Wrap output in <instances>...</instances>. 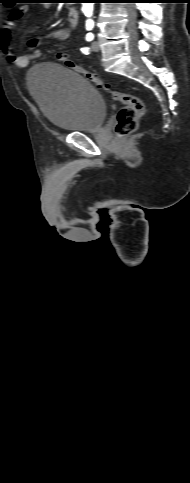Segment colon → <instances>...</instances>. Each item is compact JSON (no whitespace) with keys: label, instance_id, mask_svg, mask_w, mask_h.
<instances>
[{"label":"colon","instance_id":"5ec220e1","mask_svg":"<svg viewBox=\"0 0 190 483\" xmlns=\"http://www.w3.org/2000/svg\"><path fill=\"white\" fill-rule=\"evenodd\" d=\"M58 60L62 62L67 68L74 70L82 74L91 84L97 88L108 91L111 98L123 104L117 115V121L115 124V133L118 137H125L138 128L139 119L144 113V104L136 95L117 91L111 89V87L105 84L94 73L85 69L80 64H77L73 60L67 58L63 54L58 55Z\"/></svg>","mask_w":190,"mask_h":483}]
</instances>
